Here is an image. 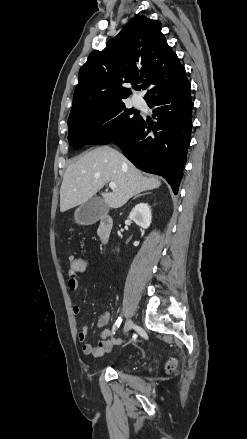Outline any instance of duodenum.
<instances>
[{"label":"duodenum","instance_id":"410a0bca","mask_svg":"<svg viewBox=\"0 0 247 439\" xmlns=\"http://www.w3.org/2000/svg\"><path fill=\"white\" fill-rule=\"evenodd\" d=\"M113 219L109 215L100 218L97 226V236L102 244H107L111 238Z\"/></svg>","mask_w":247,"mask_h":439}]
</instances>
